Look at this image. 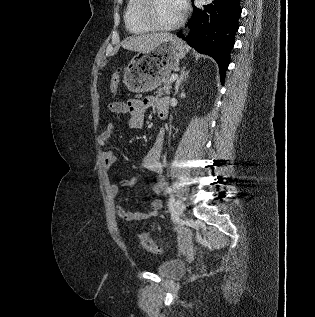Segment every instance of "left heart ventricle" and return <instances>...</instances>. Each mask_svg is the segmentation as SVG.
Segmentation results:
<instances>
[{
  "label": "left heart ventricle",
  "instance_id": "obj_1",
  "mask_svg": "<svg viewBox=\"0 0 315 317\" xmlns=\"http://www.w3.org/2000/svg\"><path fill=\"white\" fill-rule=\"evenodd\" d=\"M152 16L157 23L167 25L178 20L181 12L174 0H155Z\"/></svg>",
  "mask_w": 315,
  "mask_h": 317
}]
</instances>
